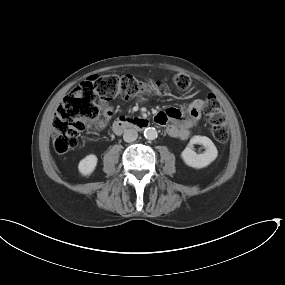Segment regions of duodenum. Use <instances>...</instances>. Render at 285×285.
<instances>
[{
  "instance_id": "410a0bca",
  "label": "duodenum",
  "mask_w": 285,
  "mask_h": 285,
  "mask_svg": "<svg viewBox=\"0 0 285 285\" xmlns=\"http://www.w3.org/2000/svg\"><path fill=\"white\" fill-rule=\"evenodd\" d=\"M149 125V121L145 118L120 117L113 123L112 130L115 134L119 135L127 129L136 131L145 130Z\"/></svg>"
}]
</instances>
